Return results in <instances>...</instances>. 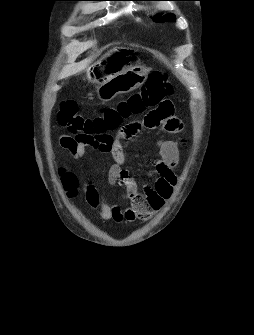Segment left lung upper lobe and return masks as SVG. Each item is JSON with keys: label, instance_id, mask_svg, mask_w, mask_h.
<instances>
[{"label": "left lung upper lobe", "instance_id": "obj_1", "mask_svg": "<svg viewBox=\"0 0 254 335\" xmlns=\"http://www.w3.org/2000/svg\"><path fill=\"white\" fill-rule=\"evenodd\" d=\"M156 22L164 21H175V16L173 14L165 15L164 17H158L155 19Z\"/></svg>", "mask_w": 254, "mask_h": 335}]
</instances>
